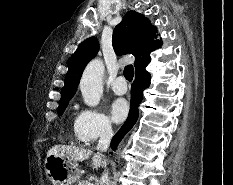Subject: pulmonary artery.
<instances>
[{
	"instance_id": "obj_1",
	"label": "pulmonary artery",
	"mask_w": 233,
	"mask_h": 185,
	"mask_svg": "<svg viewBox=\"0 0 233 185\" xmlns=\"http://www.w3.org/2000/svg\"><path fill=\"white\" fill-rule=\"evenodd\" d=\"M112 90L119 95L125 94L127 91V84L126 80L123 76L116 77L112 84H111Z\"/></svg>"
}]
</instances>
